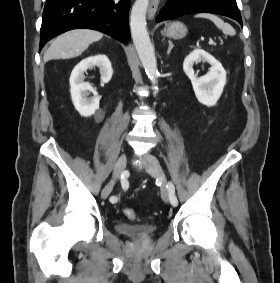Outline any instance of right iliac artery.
<instances>
[{
  "mask_svg": "<svg viewBox=\"0 0 280 283\" xmlns=\"http://www.w3.org/2000/svg\"><path fill=\"white\" fill-rule=\"evenodd\" d=\"M120 182H121L122 187H126L127 184H128L127 180H126V178L124 177L123 174L121 175ZM110 202L111 203H117L118 202V197L117 196H111L110 197Z\"/></svg>",
  "mask_w": 280,
  "mask_h": 283,
  "instance_id": "1",
  "label": "right iliac artery"
}]
</instances>
